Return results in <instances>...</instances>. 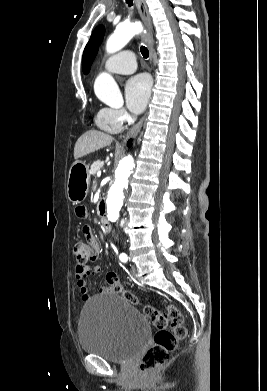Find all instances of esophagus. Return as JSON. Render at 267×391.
Listing matches in <instances>:
<instances>
[{
	"label": "esophagus",
	"mask_w": 267,
	"mask_h": 391,
	"mask_svg": "<svg viewBox=\"0 0 267 391\" xmlns=\"http://www.w3.org/2000/svg\"><path fill=\"white\" fill-rule=\"evenodd\" d=\"M141 21L143 22V25L145 29L147 30L146 34L144 35V42L149 48L150 56H153V40H152V23H151V17L147 8V5L145 3V0H135ZM144 118H142L124 137L123 142H127L128 139L133 138L137 135V133L140 131L142 124H143Z\"/></svg>",
	"instance_id": "esophagus-1"
}]
</instances>
